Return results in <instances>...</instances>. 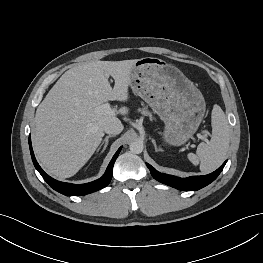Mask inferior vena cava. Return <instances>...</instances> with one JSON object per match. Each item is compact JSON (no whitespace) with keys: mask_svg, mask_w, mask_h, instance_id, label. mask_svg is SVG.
Returning a JSON list of instances; mask_svg holds the SVG:
<instances>
[{"mask_svg":"<svg viewBox=\"0 0 263 263\" xmlns=\"http://www.w3.org/2000/svg\"><path fill=\"white\" fill-rule=\"evenodd\" d=\"M122 130H123V125L119 120L115 122H111L104 127L105 133L111 135H117L121 133Z\"/></svg>","mask_w":263,"mask_h":263,"instance_id":"602c4592","label":"inferior vena cava"}]
</instances>
